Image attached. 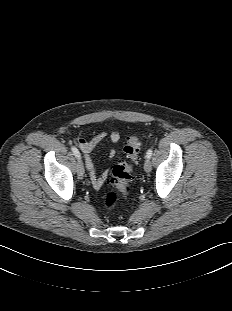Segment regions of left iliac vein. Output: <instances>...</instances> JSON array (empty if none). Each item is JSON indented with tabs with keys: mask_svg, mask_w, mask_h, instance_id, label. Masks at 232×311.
I'll return each mask as SVG.
<instances>
[{
	"mask_svg": "<svg viewBox=\"0 0 232 311\" xmlns=\"http://www.w3.org/2000/svg\"><path fill=\"white\" fill-rule=\"evenodd\" d=\"M152 169V165H151V161L149 158H146L145 159V162H144V170L149 173Z\"/></svg>",
	"mask_w": 232,
	"mask_h": 311,
	"instance_id": "obj_1",
	"label": "left iliac vein"
}]
</instances>
